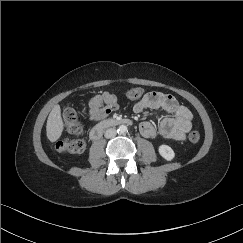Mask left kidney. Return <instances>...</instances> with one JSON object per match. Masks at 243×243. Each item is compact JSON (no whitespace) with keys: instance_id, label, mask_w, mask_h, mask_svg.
<instances>
[{"instance_id":"obj_1","label":"left kidney","mask_w":243,"mask_h":243,"mask_svg":"<svg viewBox=\"0 0 243 243\" xmlns=\"http://www.w3.org/2000/svg\"><path fill=\"white\" fill-rule=\"evenodd\" d=\"M158 152L167 161H171L175 157L173 149L168 145H160Z\"/></svg>"}]
</instances>
